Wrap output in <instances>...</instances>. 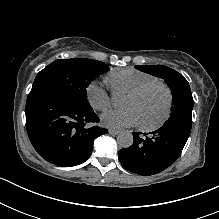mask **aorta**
<instances>
[{
	"label": "aorta",
	"mask_w": 219,
	"mask_h": 219,
	"mask_svg": "<svg viewBox=\"0 0 219 219\" xmlns=\"http://www.w3.org/2000/svg\"><path fill=\"white\" fill-rule=\"evenodd\" d=\"M113 104L117 106L119 104V98H113ZM117 143L122 148H128L133 144V135L129 131H121L117 136Z\"/></svg>",
	"instance_id": "obj_1"
}]
</instances>
